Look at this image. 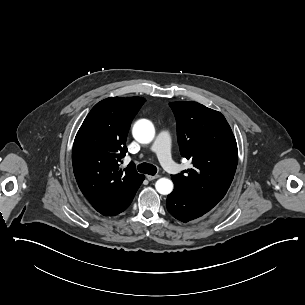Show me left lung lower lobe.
Masks as SVG:
<instances>
[{"label": "left lung lower lobe", "mask_w": 305, "mask_h": 305, "mask_svg": "<svg viewBox=\"0 0 305 305\" xmlns=\"http://www.w3.org/2000/svg\"><path fill=\"white\" fill-rule=\"evenodd\" d=\"M218 202L191 197L174 188L168 195L166 206L169 213L176 219L186 223L203 216Z\"/></svg>", "instance_id": "0a47b994"}]
</instances>
